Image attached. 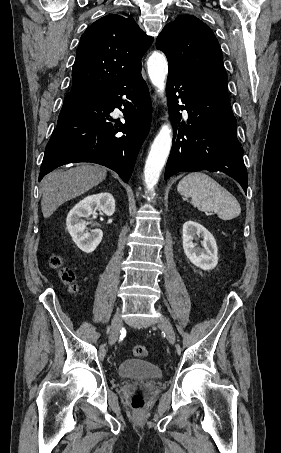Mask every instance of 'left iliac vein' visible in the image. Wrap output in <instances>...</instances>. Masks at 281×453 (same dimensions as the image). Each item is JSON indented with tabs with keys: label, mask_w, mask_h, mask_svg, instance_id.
<instances>
[{
	"label": "left iliac vein",
	"mask_w": 281,
	"mask_h": 453,
	"mask_svg": "<svg viewBox=\"0 0 281 453\" xmlns=\"http://www.w3.org/2000/svg\"><path fill=\"white\" fill-rule=\"evenodd\" d=\"M156 320V324L160 325V328L162 329V331H164V334H166L168 341L174 344L176 342L175 331L167 320V317L159 316V318H156Z\"/></svg>",
	"instance_id": "obj_1"
}]
</instances>
